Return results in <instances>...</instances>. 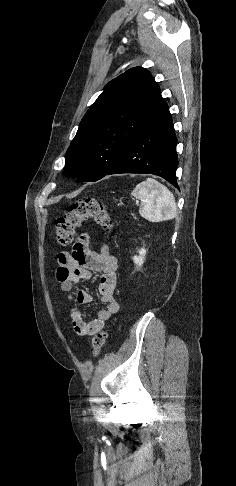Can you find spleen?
<instances>
[{"label":"spleen","instance_id":"obj_1","mask_svg":"<svg viewBox=\"0 0 236 486\" xmlns=\"http://www.w3.org/2000/svg\"><path fill=\"white\" fill-rule=\"evenodd\" d=\"M131 195L141 201L139 213L151 222H161L176 217L177 205L173 193L153 178L136 185Z\"/></svg>","mask_w":236,"mask_h":486}]
</instances>
